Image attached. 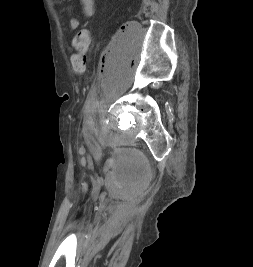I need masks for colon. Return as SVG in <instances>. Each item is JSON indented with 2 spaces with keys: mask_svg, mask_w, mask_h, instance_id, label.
<instances>
[{
  "mask_svg": "<svg viewBox=\"0 0 253 267\" xmlns=\"http://www.w3.org/2000/svg\"><path fill=\"white\" fill-rule=\"evenodd\" d=\"M89 44L90 39L87 30H79L73 40V46L76 50V53L71 58L72 67L77 73H83L85 71L87 62L86 55Z\"/></svg>",
  "mask_w": 253,
  "mask_h": 267,
  "instance_id": "5ec220e1",
  "label": "colon"
}]
</instances>
